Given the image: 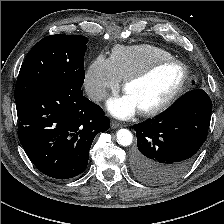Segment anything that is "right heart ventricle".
I'll return each instance as SVG.
<instances>
[{"mask_svg": "<svg viewBox=\"0 0 224 224\" xmlns=\"http://www.w3.org/2000/svg\"><path fill=\"white\" fill-rule=\"evenodd\" d=\"M166 58H173V55L158 46L139 44L114 47L110 56V62L119 79L124 80L152 62Z\"/></svg>", "mask_w": 224, "mask_h": 224, "instance_id": "right-heart-ventricle-1", "label": "right heart ventricle"}]
</instances>
